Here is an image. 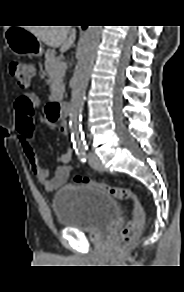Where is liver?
Instances as JSON below:
<instances>
[{
	"label": "liver",
	"instance_id": "liver-1",
	"mask_svg": "<svg viewBox=\"0 0 184 292\" xmlns=\"http://www.w3.org/2000/svg\"><path fill=\"white\" fill-rule=\"evenodd\" d=\"M26 29L45 45L53 48L61 47V52H66L76 39V30L71 26H34Z\"/></svg>",
	"mask_w": 184,
	"mask_h": 292
}]
</instances>
